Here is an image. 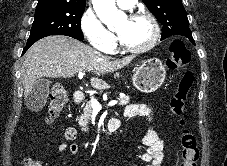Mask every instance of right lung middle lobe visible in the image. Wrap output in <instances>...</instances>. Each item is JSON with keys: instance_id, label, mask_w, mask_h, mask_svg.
Returning a JSON list of instances; mask_svg holds the SVG:
<instances>
[{"instance_id": "right-lung-middle-lobe-1", "label": "right lung middle lobe", "mask_w": 227, "mask_h": 166, "mask_svg": "<svg viewBox=\"0 0 227 166\" xmlns=\"http://www.w3.org/2000/svg\"><path fill=\"white\" fill-rule=\"evenodd\" d=\"M84 7L46 5L36 7L35 18L27 43L50 35H66L82 41L81 17Z\"/></svg>"}]
</instances>
